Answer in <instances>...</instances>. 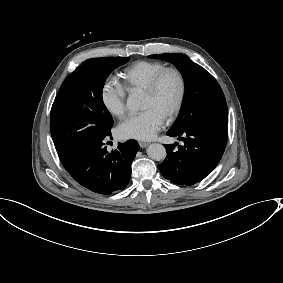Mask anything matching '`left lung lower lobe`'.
<instances>
[{"instance_id":"0a47b994","label":"left lung lower lobe","mask_w":283,"mask_h":283,"mask_svg":"<svg viewBox=\"0 0 283 283\" xmlns=\"http://www.w3.org/2000/svg\"><path fill=\"white\" fill-rule=\"evenodd\" d=\"M228 125L203 126L181 132L168 131L184 144L164 145L166 159L158 165L164 178L178 185H193L219 163L227 142Z\"/></svg>"}]
</instances>
